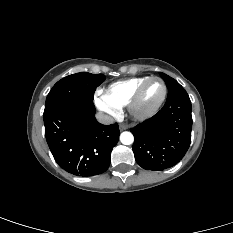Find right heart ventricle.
Masks as SVG:
<instances>
[{"label":"right heart ventricle","instance_id":"1","mask_svg":"<svg viewBox=\"0 0 233 233\" xmlns=\"http://www.w3.org/2000/svg\"><path fill=\"white\" fill-rule=\"evenodd\" d=\"M148 77H137L114 82L103 93L108 103L120 109L128 105L138 86Z\"/></svg>","mask_w":233,"mask_h":233}]
</instances>
